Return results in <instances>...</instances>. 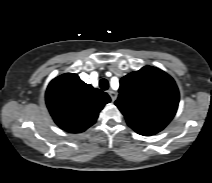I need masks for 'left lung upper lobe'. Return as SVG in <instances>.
Segmentation results:
<instances>
[{"mask_svg": "<svg viewBox=\"0 0 212 183\" xmlns=\"http://www.w3.org/2000/svg\"><path fill=\"white\" fill-rule=\"evenodd\" d=\"M119 92L115 104L128 125L144 136L164 129L177 111L179 92L174 80L152 66L124 76Z\"/></svg>", "mask_w": 212, "mask_h": 183, "instance_id": "obj_1", "label": "left lung upper lobe"}]
</instances>
